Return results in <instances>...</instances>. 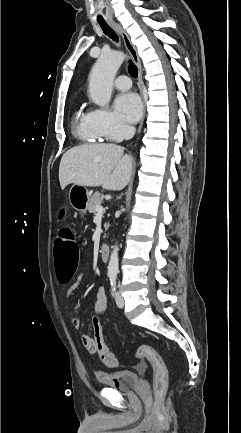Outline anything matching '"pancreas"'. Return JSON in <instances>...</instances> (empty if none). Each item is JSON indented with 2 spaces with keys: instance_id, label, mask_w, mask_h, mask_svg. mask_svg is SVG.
Masks as SVG:
<instances>
[{
  "instance_id": "cf45deb5",
  "label": "pancreas",
  "mask_w": 241,
  "mask_h": 433,
  "mask_svg": "<svg viewBox=\"0 0 241 433\" xmlns=\"http://www.w3.org/2000/svg\"><path fill=\"white\" fill-rule=\"evenodd\" d=\"M102 203V199L99 192H96L89 201L88 205V211L91 214H96V206L100 205ZM109 227V224H105V229L107 230Z\"/></svg>"
}]
</instances>
